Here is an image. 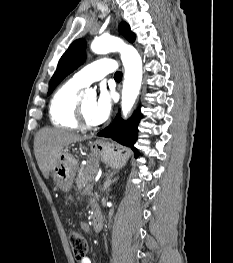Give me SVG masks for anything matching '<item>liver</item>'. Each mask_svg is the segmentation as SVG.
I'll use <instances>...</instances> for the list:
<instances>
[{"label":"liver","mask_w":233,"mask_h":263,"mask_svg":"<svg viewBox=\"0 0 233 263\" xmlns=\"http://www.w3.org/2000/svg\"><path fill=\"white\" fill-rule=\"evenodd\" d=\"M86 139L89 137L63 129L43 128L39 130L34 139V153L44 178L49 177V172L65 146Z\"/></svg>","instance_id":"1"}]
</instances>
